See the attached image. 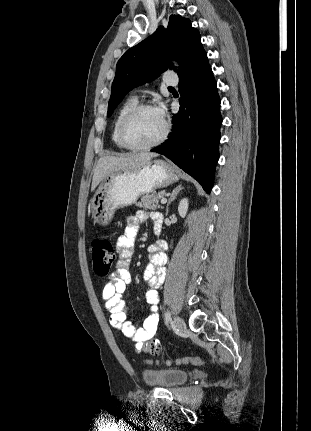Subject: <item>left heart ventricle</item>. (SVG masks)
I'll list each match as a JSON object with an SVG mask.
<instances>
[{
    "instance_id": "obj_1",
    "label": "left heart ventricle",
    "mask_w": 311,
    "mask_h": 431,
    "mask_svg": "<svg viewBox=\"0 0 311 431\" xmlns=\"http://www.w3.org/2000/svg\"><path fill=\"white\" fill-rule=\"evenodd\" d=\"M164 129V120L155 109H148L137 116L130 124L128 135L135 144H146L159 137Z\"/></svg>"
}]
</instances>
